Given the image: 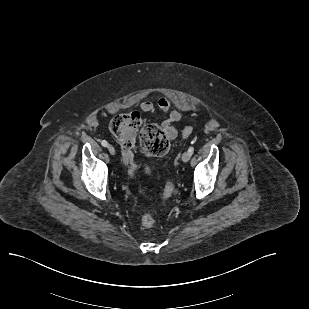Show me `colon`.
I'll return each instance as SVG.
<instances>
[{
    "mask_svg": "<svg viewBox=\"0 0 309 309\" xmlns=\"http://www.w3.org/2000/svg\"><path fill=\"white\" fill-rule=\"evenodd\" d=\"M110 130L116 139L127 149L138 148L148 156H162L169 150V140L164 130L156 124L144 122L138 112L122 113L114 116L110 121ZM192 133L191 128L183 131V136L188 137ZM130 155V152L126 153ZM129 173H135V165L128 161ZM173 192L172 185L168 184L162 194V199H167ZM142 225L151 227L155 223V216L151 212L145 213L141 218Z\"/></svg>",
    "mask_w": 309,
    "mask_h": 309,
    "instance_id": "5ec220e1",
    "label": "colon"
}]
</instances>
